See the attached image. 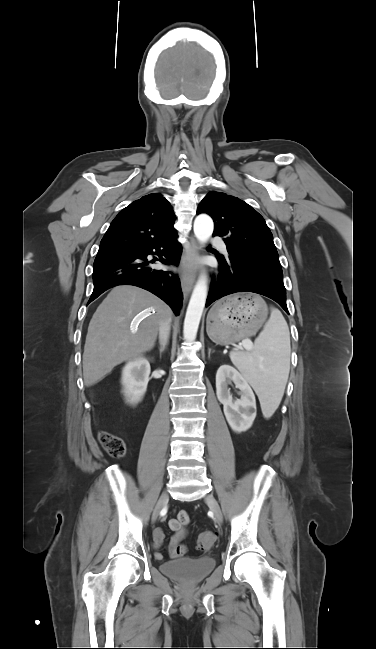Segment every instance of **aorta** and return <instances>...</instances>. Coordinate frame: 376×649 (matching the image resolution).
Listing matches in <instances>:
<instances>
[{
  "label": "aorta",
  "instance_id": "1",
  "mask_svg": "<svg viewBox=\"0 0 376 649\" xmlns=\"http://www.w3.org/2000/svg\"><path fill=\"white\" fill-rule=\"evenodd\" d=\"M214 229V223L207 214H200L194 220V234L202 244L206 243L211 237ZM207 278L201 275L192 292L183 326L184 340L193 342L196 339L200 320L205 307L207 298Z\"/></svg>",
  "mask_w": 376,
  "mask_h": 649
}]
</instances>
